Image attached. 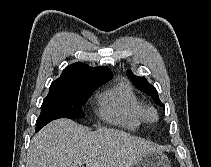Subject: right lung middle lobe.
<instances>
[{"label":"right lung middle lobe","instance_id":"right-lung-middle-lobe-1","mask_svg":"<svg viewBox=\"0 0 211 167\" xmlns=\"http://www.w3.org/2000/svg\"><path fill=\"white\" fill-rule=\"evenodd\" d=\"M105 82L107 81H88L63 88H50L36 121V131L55 119L82 118L84 116L82 106L87 98Z\"/></svg>","mask_w":211,"mask_h":167}]
</instances>
